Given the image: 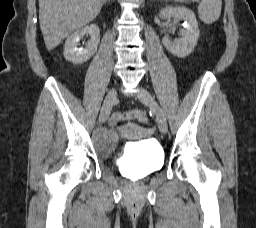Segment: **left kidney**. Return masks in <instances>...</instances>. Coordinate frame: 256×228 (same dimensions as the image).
Wrapping results in <instances>:
<instances>
[{"mask_svg": "<svg viewBox=\"0 0 256 228\" xmlns=\"http://www.w3.org/2000/svg\"><path fill=\"white\" fill-rule=\"evenodd\" d=\"M162 19L176 18L183 20L185 29L183 37L176 42H172L168 37L162 40L165 48L173 55L183 58L192 53L199 38V29L196 16L193 11L185 7H166L159 13Z\"/></svg>", "mask_w": 256, "mask_h": 228, "instance_id": "left-kidney-1", "label": "left kidney"}]
</instances>
